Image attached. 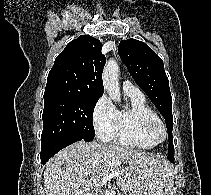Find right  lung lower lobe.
<instances>
[{
	"label": "right lung lower lobe",
	"mask_w": 211,
	"mask_h": 195,
	"mask_svg": "<svg viewBox=\"0 0 211 195\" xmlns=\"http://www.w3.org/2000/svg\"><path fill=\"white\" fill-rule=\"evenodd\" d=\"M80 140H83V139L79 137H70V138L60 139V140H57V141H54L42 146L41 154H40L41 163L45 164L57 152L67 147L68 145Z\"/></svg>",
	"instance_id": "right-lung-lower-lobe-1"
}]
</instances>
